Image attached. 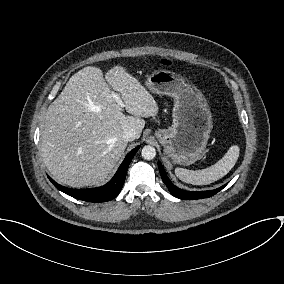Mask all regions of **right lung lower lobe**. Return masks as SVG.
Masks as SVG:
<instances>
[{
    "label": "right lung lower lobe",
    "mask_w": 284,
    "mask_h": 284,
    "mask_svg": "<svg viewBox=\"0 0 284 284\" xmlns=\"http://www.w3.org/2000/svg\"><path fill=\"white\" fill-rule=\"evenodd\" d=\"M139 147L133 149L124 159L114 177L104 186L90 189H70L59 185L49 176V180L60 191L79 200L88 202H105L115 198L122 189L128 166Z\"/></svg>",
    "instance_id": "1"
}]
</instances>
